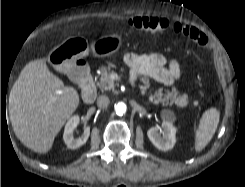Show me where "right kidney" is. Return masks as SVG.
Here are the masks:
<instances>
[{
  "label": "right kidney",
  "mask_w": 245,
  "mask_h": 187,
  "mask_svg": "<svg viewBox=\"0 0 245 187\" xmlns=\"http://www.w3.org/2000/svg\"><path fill=\"white\" fill-rule=\"evenodd\" d=\"M80 122L78 115L72 116L65 125L63 140L68 148L77 149L84 145L90 135V127H85L83 134L79 138L74 137V130Z\"/></svg>",
  "instance_id": "right-kidney-1"
}]
</instances>
